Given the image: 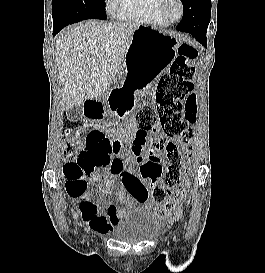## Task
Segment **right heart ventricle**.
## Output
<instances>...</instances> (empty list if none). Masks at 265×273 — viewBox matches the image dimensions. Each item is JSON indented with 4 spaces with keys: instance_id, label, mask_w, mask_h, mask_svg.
<instances>
[{
    "instance_id": "e07e8e85",
    "label": "right heart ventricle",
    "mask_w": 265,
    "mask_h": 273,
    "mask_svg": "<svg viewBox=\"0 0 265 273\" xmlns=\"http://www.w3.org/2000/svg\"><path fill=\"white\" fill-rule=\"evenodd\" d=\"M158 3L159 0H120L117 17L155 27H166L169 23L159 14Z\"/></svg>"
}]
</instances>
